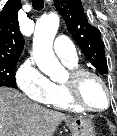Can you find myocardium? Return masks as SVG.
<instances>
[{"instance_id":"myocardium-1","label":"myocardium","mask_w":117,"mask_h":136,"mask_svg":"<svg viewBox=\"0 0 117 136\" xmlns=\"http://www.w3.org/2000/svg\"><path fill=\"white\" fill-rule=\"evenodd\" d=\"M68 76L69 77L67 81H65L62 85L65 89L68 99L75 107H77L81 111L89 112V113H102L110 108L113 102V93L110 87L108 86L107 82L104 80V78L101 75H99L98 73L92 70L83 69V68H74L70 70ZM89 76L97 79L102 84L107 94V104L102 109L90 108L86 106L81 100L80 85L83 79Z\"/></svg>"}]
</instances>
